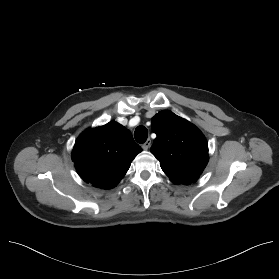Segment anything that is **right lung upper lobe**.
Masks as SVG:
<instances>
[{"label":"right lung upper lobe","instance_id":"cb5924a9","mask_svg":"<svg viewBox=\"0 0 279 279\" xmlns=\"http://www.w3.org/2000/svg\"><path fill=\"white\" fill-rule=\"evenodd\" d=\"M141 150L131 132L112 121L85 130L75 142L72 160L85 182L101 189H111L124 177L131 161Z\"/></svg>","mask_w":279,"mask_h":279}]
</instances>
